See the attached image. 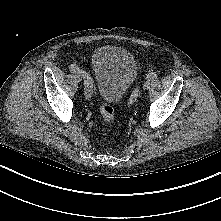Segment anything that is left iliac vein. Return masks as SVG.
I'll list each match as a JSON object with an SVG mask.
<instances>
[{
  "instance_id": "left-iliac-vein-1",
  "label": "left iliac vein",
  "mask_w": 221,
  "mask_h": 221,
  "mask_svg": "<svg viewBox=\"0 0 221 221\" xmlns=\"http://www.w3.org/2000/svg\"><path fill=\"white\" fill-rule=\"evenodd\" d=\"M150 87V80H146L144 83H143V89L144 90H147L149 89Z\"/></svg>"
}]
</instances>
